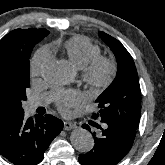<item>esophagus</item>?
Returning <instances> with one entry per match:
<instances>
[{
    "mask_svg": "<svg viewBox=\"0 0 165 165\" xmlns=\"http://www.w3.org/2000/svg\"><path fill=\"white\" fill-rule=\"evenodd\" d=\"M76 128V124L73 123V122H69V121H64V129L65 130H71V129H74Z\"/></svg>",
    "mask_w": 165,
    "mask_h": 165,
    "instance_id": "34e87169",
    "label": "esophagus"
}]
</instances>
